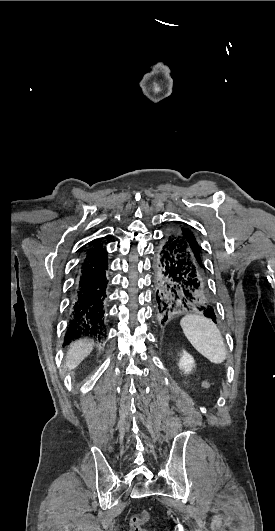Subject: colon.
<instances>
[{"label": "colon", "mask_w": 275, "mask_h": 531, "mask_svg": "<svg viewBox=\"0 0 275 531\" xmlns=\"http://www.w3.org/2000/svg\"><path fill=\"white\" fill-rule=\"evenodd\" d=\"M150 519V513L148 510H141L135 514L130 520V531H145L143 525Z\"/></svg>", "instance_id": "colon-1"}]
</instances>
